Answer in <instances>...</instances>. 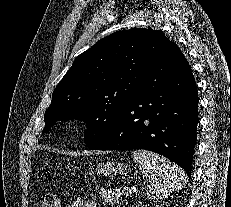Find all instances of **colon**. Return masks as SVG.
I'll use <instances>...</instances> for the list:
<instances>
[{
  "mask_svg": "<svg viewBox=\"0 0 231 207\" xmlns=\"http://www.w3.org/2000/svg\"><path fill=\"white\" fill-rule=\"evenodd\" d=\"M41 207H60L59 196L55 192L46 193L42 197Z\"/></svg>",
  "mask_w": 231,
  "mask_h": 207,
  "instance_id": "colon-1",
  "label": "colon"
}]
</instances>
